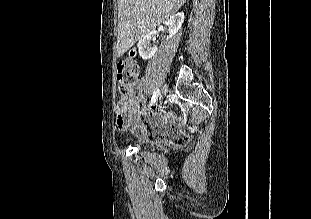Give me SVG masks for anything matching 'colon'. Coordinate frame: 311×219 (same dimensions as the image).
Here are the masks:
<instances>
[{"label":"colon","instance_id":"colon-1","mask_svg":"<svg viewBox=\"0 0 311 219\" xmlns=\"http://www.w3.org/2000/svg\"><path fill=\"white\" fill-rule=\"evenodd\" d=\"M116 69H117L116 74L117 88L119 93L121 94V100L119 102L127 103L128 95L133 90L135 80L138 74V66L132 59L124 58L118 60ZM162 132L167 133L172 131L164 125ZM172 133L174 134V136H176L174 142L183 143L185 141L184 137L178 136L174 132ZM159 138H160L159 136H150V139L152 140H157Z\"/></svg>","mask_w":311,"mask_h":219}]
</instances>
